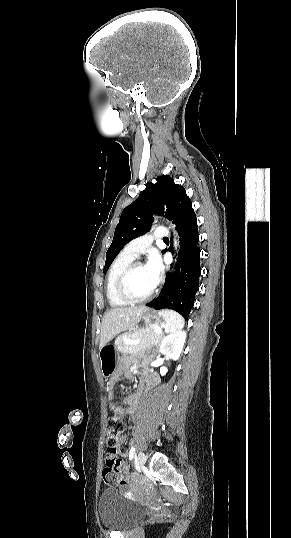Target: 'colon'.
I'll use <instances>...</instances> for the list:
<instances>
[{"label":"colon","mask_w":291,"mask_h":538,"mask_svg":"<svg viewBox=\"0 0 291 538\" xmlns=\"http://www.w3.org/2000/svg\"><path fill=\"white\" fill-rule=\"evenodd\" d=\"M123 432L124 425L120 415L113 412L107 423L106 468L102 474L104 482L109 486L115 484L126 485L129 482V476L126 473L127 467L117 458V443Z\"/></svg>","instance_id":"1"}]
</instances>
